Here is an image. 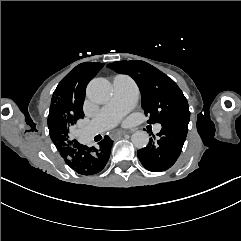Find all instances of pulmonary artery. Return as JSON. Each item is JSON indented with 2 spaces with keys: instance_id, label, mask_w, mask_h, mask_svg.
Returning a JSON list of instances; mask_svg holds the SVG:
<instances>
[{
  "instance_id": "e3ab8cb5",
  "label": "pulmonary artery",
  "mask_w": 241,
  "mask_h": 241,
  "mask_svg": "<svg viewBox=\"0 0 241 241\" xmlns=\"http://www.w3.org/2000/svg\"><path fill=\"white\" fill-rule=\"evenodd\" d=\"M113 89L112 98L99 110L97 116L90 121V126L94 130H108L119 121V117L125 116L135 106L137 100L136 86L129 76H116L113 80ZM153 131L160 133L162 126L155 124Z\"/></svg>"
}]
</instances>
